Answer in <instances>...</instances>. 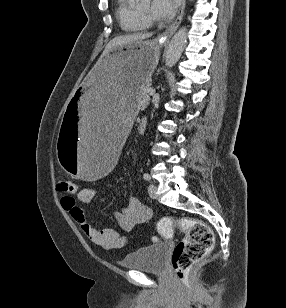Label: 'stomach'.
Returning <instances> with one entry per match:
<instances>
[{
    "label": "stomach",
    "mask_w": 286,
    "mask_h": 308,
    "mask_svg": "<svg viewBox=\"0 0 286 308\" xmlns=\"http://www.w3.org/2000/svg\"><path fill=\"white\" fill-rule=\"evenodd\" d=\"M158 41L119 44L100 60L67 100L57 158L64 173L80 182H101L121 159L123 132L142 107L140 87L159 60ZM138 94V96H137Z\"/></svg>",
    "instance_id": "1"
}]
</instances>
